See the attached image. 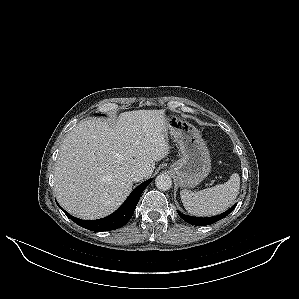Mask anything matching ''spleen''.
Listing matches in <instances>:
<instances>
[{
    "label": "spleen",
    "mask_w": 299,
    "mask_h": 299,
    "mask_svg": "<svg viewBox=\"0 0 299 299\" xmlns=\"http://www.w3.org/2000/svg\"><path fill=\"white\" fill-rule=\"evenodd\" d=\"M240 189V177L231 175L224 184H218L198 192L181 190L180 196L184 208L195 216H212L226 211L235 201Z\"/></svg>",
    "instance_id": "1"
}]
</instances>
